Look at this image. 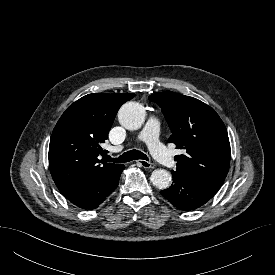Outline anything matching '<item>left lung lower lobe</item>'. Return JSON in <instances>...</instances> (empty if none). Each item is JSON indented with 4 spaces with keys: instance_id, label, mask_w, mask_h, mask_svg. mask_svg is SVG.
Instances as JSON below:
<instances>
[{
    "instance_id": "obj_1",
    "label": "left lung lower lobe",
    "mask_w": 275,
    "mask_h": 275,
    "mask_svg": "<svg viewBox=\"0 0 275 275\" xmlns=\"http://www.w3.org/2000/svg\"><path fill=\"white\" fill-rule=\"evenodd\" d=\"M173 174L172 185L161 194L180 210H193L209 201L220 187L201 179Z\"/></svg>"
}]
</instances>
